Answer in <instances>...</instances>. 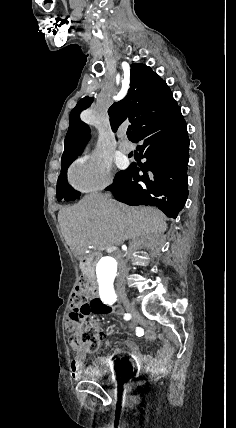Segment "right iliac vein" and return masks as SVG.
I'll use <instances>...</instances> for the list:
<instances>
[{
    "label": "right iliac vein",
    "mask_w": 236,
    "mask_h": 428,
    "mask_svg": "<svg viewBox=\"0 0 236 428\" xmlns=\"http://www.w3.org/2000/svg\"><path fill=\"white\" fill-rule=\"evenodd\" d=\"M117 299H120L122 302V306L127 309L126 311L129 313L131 310L129 309V307L131 306V303L127 300V298L124 295H119ZM132 316L131 319V326L135 327L136 326V320H137V315H135L133 312L130 314Z\"/></svg>",
    "instance_id": "1"
}]
</instances>
